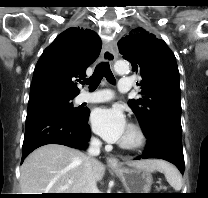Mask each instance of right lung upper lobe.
Returning <instances> with one entry per match:
<instances>
[{"instance_id":"right-lung-upper-lobe-1","label":"right lung upper lobe","mask_w":208,"mask_h":198,"mask_svg":"<svg viewBox=\"0 0 208 198\" xmlns=\"http://www.w3.org/2000/svg\"><path fill=\"white\" fill-rule=\"evenodd\" d=\"M101 47L99 36L90 29L73 27L57 36L37 62L28 107L76 97L79 89L73 80L86 76Z\"/></svg>"}]
</instances>
